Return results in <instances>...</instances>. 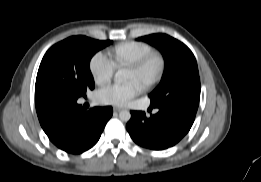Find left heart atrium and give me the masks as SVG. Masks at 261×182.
Wrapping results in <instances>:
<instances>
[{
    "instance_id": "1",
    "label": "left heart atrium",
    "mask_w": 261,
    "mask_h": 182,
    "mask_svg": "<svg viewBox=\"0 0 261 182\" xmlns=\"http://www.w3.org/2000/svg\"><path fill=\"white\" fill-rule=\"evenodd\" d=\"M142 90L143 86L137 81L113 84L99 90L97 100L104 105L125 106L132 98L140 94Z\"/></svg>"
}]
</instances>
